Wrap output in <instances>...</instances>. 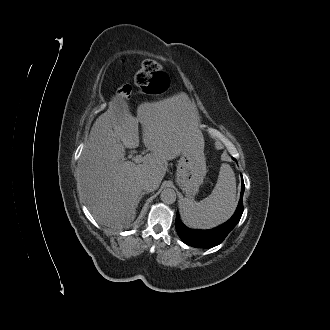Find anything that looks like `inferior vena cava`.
Returning <instances> with one entry per match:
<instances>
[{
  "instance_id": "obj_1",
  "label": "inferior vena cava",
  "mask_w": 330,
  "mask_h": 330,
  "mask_svg": "<svg viewBox=\"0 0 330 330\" xmlns=\"http://www.w3.org/2000/svg\"><path fill=\"white\" fill-rule=\"evenodd\" d=\"M141 188L144 191L152 192L158 188V183L152 176L145 177L141 181Z\"/></svg>"
}]
</instances>
